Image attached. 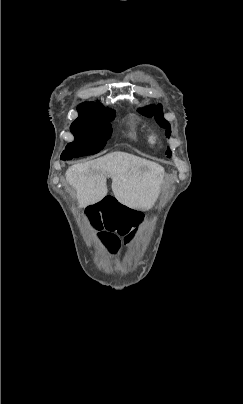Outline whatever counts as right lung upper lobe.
Instances as JSON below:
<instances>
[{"instance_id": "right-lung-upper-lobe-1", "label": "right lung upper lobe", "mask_w": 243, "mask_h": 404, "mask_svg": "<svg viewBox=\"0 0 243 404\" xmlns=\"http://www.w3.org/2000/svg\"><path fill=\"white\" fill-rule=\"evenodd\" d=\"M77 110L79 113V117L92 116V115H97V114H101V113L109 111V109H106L101 104L94 103V102L82 103L77 107Z\"/></svg>"}]
</instances>
